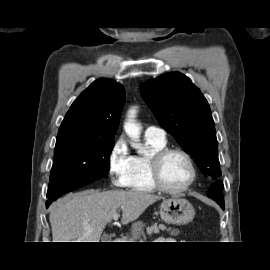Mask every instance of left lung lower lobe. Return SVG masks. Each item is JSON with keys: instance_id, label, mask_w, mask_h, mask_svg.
Returning <instances> with one entry per match:
<instances>
[{"instance_id": "left-lung-lower-lobe-1", "label": "left lung lower lobe", "mask_w": 270, "mask_h": 270, "mask_svg": "<svg viewBox=\"0 0 270 270\" xmlns=\"http://www.w3.org/2000/svg\"><path fill=\"white\" fill-rule=\"evenodd\" d=\"M222 184L217 183L211 187V191L208 193V196L215 200L220 207L224 210V200H223V194H222Z\"/></svg>"}]
</instances>
